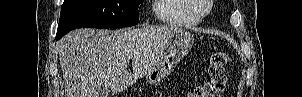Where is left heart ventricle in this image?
I'll list each match as a JSON object with an SVG mask.
<instances>
[{
	"label": "left heart ventricle",
	"mask_w": 302,
	"mask_h": 97,
	"mask_svg": "<svg viewBox=\"0 0 302 97\" xmlns=\"http://www.w3.org/2000/svg\"><path fill=\"white\" fill-rule=\"evenodd\" d=\"M193 5L198 12L206 10L205 0H193Z\"/></svg>",
	"instance_id": "left-heart-ventricle-1"
}]
</instances>
